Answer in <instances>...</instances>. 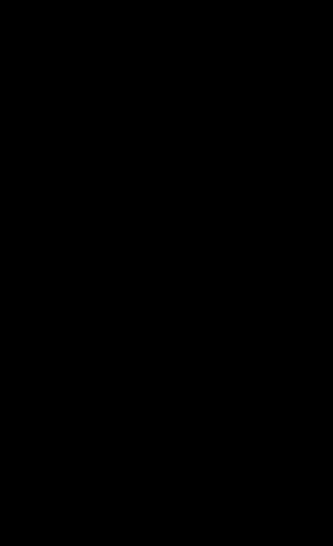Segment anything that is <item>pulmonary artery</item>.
I'll return each mask as SVG.
<instances>
[{
    "label": "pulmonary artery",
    "instance_id": "1",
    "mask_svg": "<svg viewBox=\"0 0 333 546\" xmlns=\"http://www.w3.org/2000/svg\"><path fill=\"white\" fill-rule=\"evenodd\" d=\"M76 14H89V13H76Z\"/></svg>",
    "mask_w": 333,
    "mask_h": 546
}]
</instances>
